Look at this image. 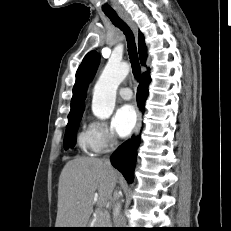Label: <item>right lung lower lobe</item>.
Returning <instances> with one entry per match:
<instances>
[{"instance_id": "obj_1", "label": "right lung lower lobe", "mask_w": 231, "mask_h": 231, "mask_svg": "<svg viewBox=\"0 0 231 231\" xmlns=\"http://www.w3.org/2000/svg\"><path fill=\"white\" fill-rule=\"evenodd\" d=\"M150 81V76L141 78L138 86L137 102L142 110L144 109L145 100L148 96V85ZM139 143L140 135L123 143L111 156L112 165L124 175L129 183L132 182L136 163V151Z\"/></svg>"}]
</instances>
